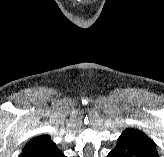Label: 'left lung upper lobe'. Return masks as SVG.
I'll return each instance as SVG.
<instances>
[{"instance_id":"obj_1","label":"left lung upper lobe","mask_w":164,"mask_h":157,"mask_svg":"<svg viewBox=\"0 0 164 157\" xmlns=\"http://www.w3.org/2000/svg\"><path fill=\"white\" fill-rule=\"evenodd\" d=\"M122 134L134 135V136L139 137L140 139H143V140L148 141L151 144L155 145V143L153 142V140H151L149 137H147L143 132H141L139 130L128 128L125 131H123Z\"/></svg>"}]
</instances>
